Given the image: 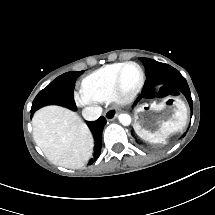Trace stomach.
<instances>
[{
    "label": "stomach",
    "mask_w": 215,
    "mask_h": 215,
    "mask_svg": "<svg viewBox=\"0 0 215 215\" xmlns=\"http://www.w3.org/2000/svg\"><path fill=\"white\" fill-rule=\"evenodd\" d=\"M188 111L184 102L174 96L159 101L142 103L134 110L133 128L143 140L162 143L183 130L187 124Z\"/></svg>",
    "instance_id": "0dacf381"
}]
</instances>
